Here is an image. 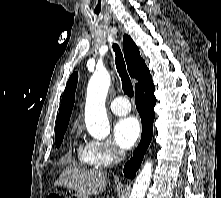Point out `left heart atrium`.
Here are the masks:
<instances>
[{
  "instance_id": "left-heart-atrium-1",
  "label": "left heart atrium",
  "mask_w": 221,
  "mask_h": 198,
  "mask_svg": "<svg viewBox=\"0 0 221 198\" xmlns=\"http://www.w3.org/2000/svg\"><path fill=\"white\" fill-rule=\"evenodd\" d=\"M140 135V125L136 118L128 117L119 120L114 127V138L123 149L131 148Z\"/></svg>"
}]
</instances>
